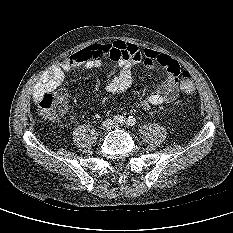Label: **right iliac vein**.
Masks as SVG:
<instances>
[{"label": "right iliac vein", "mask_w": 233, "mask_h": 233, "mask_svg": "<svg viewBox=\"0 0 233 233\" xmlns=\"http://www.w3.org/2000/svg\"><path fill=\"white\" fill-rule=\"evenodd\" d=\"M111 126H112V121H111V120H105V121L102 123L101 128H102L103 130H108V129L111 128Z\"/></svg>", "instance_id": "right-iliac-vein-1"}]
</instances>
